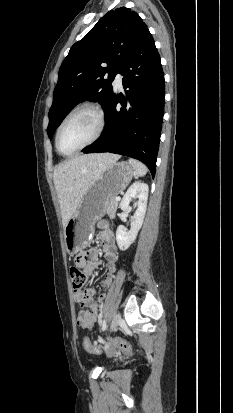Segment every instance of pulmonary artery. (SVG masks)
<instances>
[{
	"label": "pulmonary artery",
	"mask_w": 233,
	"mask_h": 413,
	"mask_svg": "<svg viewBox=\"0 0 233 413\" xmlns=\"http://www.w3.org/2000/svg\"><path fill=\"white\" fill-rule=\"evenodd\" d=\"M122 79H123L122 75L120 73H118L115 77V80H114V85L117 88H122Z\"/></svg>",
	"instance_id": "pulmonary-artery-1"
}]
</instances>
